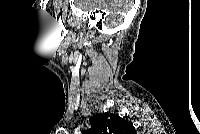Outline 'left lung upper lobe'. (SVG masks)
<instances>
[{"label": "left lung upper lobe", "mask_w": 200, "mask_h": 134, "mask_svg": "<svg viewBox=\"0 0 200 134\" xmlns=\"http://www.w3.org/2000/svg\"><path fill=\"white\" fill-rule=\"evenodd\" d=\"M91 124L92 128L85 134H136L134 126L116 114L95 115Z\"/></svg>", "instance_id": "5c2ea615"}]
</instances>
